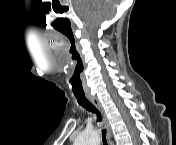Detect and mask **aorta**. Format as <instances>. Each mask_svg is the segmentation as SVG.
<instances>
[{
	"label": "aorta",
	"mask_w": 176,
	"mask_h": 145,
	"mask_svg": "<svg viewBox=\"0 0 176 145\" xmlns=\"http://www.w3.org/2000/svg\"><path fill=\"white\" fill-rule=\"evenodd\" d=\"M75 143L77 145H99L100 139L97 131H85L77 137Z\"/></svg>",
	"instance_id": "obj_1"
}]
</instances>
